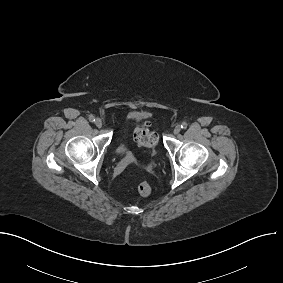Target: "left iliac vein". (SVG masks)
<instances>
[{
	"label": "left iliac vein",
	"mask_w": 283,
	"mask_h": 283,
	"mask_svg": "<svg viewBox=\"0 0 283 283\" xmlns=\"http://www.w3.org/2000/svg\"><path fill=\"white\" fill-rule=\"evenodd\" d=\"M181 131V127L179 125L175 126L174 133L178 134Z\"/></svg>",
	"instance_id": "1"
}]
</instances>
